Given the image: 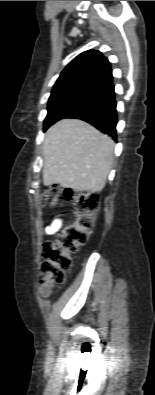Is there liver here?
<instances>
[{"label":"liver","instance_id":"liver-1","mask_svg":"<svg viewBox=\"0 0 155 395\" xmlns=\"http://www.w3.org/2000/svg\"><path fill=\"white\" fill-rule=\"evenodd\" d=\"M114 147L110 137L84 121H58L45 134L43 183L74 191H101L112 168Z\"/></svg>","mask_w":155,"mask_h":395}]
</instances>
